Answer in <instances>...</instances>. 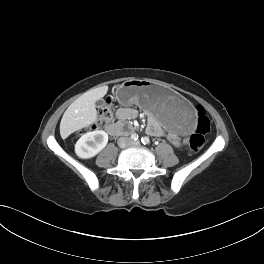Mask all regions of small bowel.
I'll return each instance as SVG.
<instances>
[{
    "mask_svg": "<svg viewBox=\"0 0 264 264\" xmlns=\"http://www.w3.org/2000/svg\"><path fill=\"white\" fill-rule=\"evenodd\" d=\"M137 116V111L133 108H120L117 111V118L121 121L127 119H133ZM147 132L152 136H162L165 134V131L161 127V125L154 119H152L147 126ZM168 139L174 144L179 145L181 143V139L179 135L175 132L167 133Z\"/></svg>",
    "mask_w": 264,
    "mask_h": 264,
    "instance_id": "obj_1",
    "label": "small bowel"
}]
</instances>
